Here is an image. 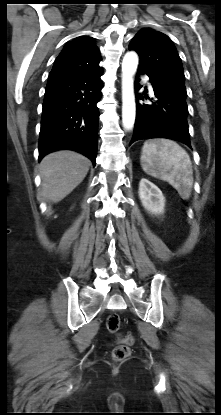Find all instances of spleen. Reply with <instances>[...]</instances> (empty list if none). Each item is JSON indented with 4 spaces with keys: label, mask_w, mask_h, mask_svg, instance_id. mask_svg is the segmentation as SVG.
<instances>
[{
    "label": "spleen",
    "mask_w": 221,
    "mask_h": 415,
    "mask_svg": "<svg viewBox=\"0 0 221 415\" xmlns=\"http://www.w3.org/2000/svg\"><path fill=\"white\" fill-rule=\"evenodd\" d=\"M140 160L148 175L167 181L183 200L189 199L193 186L192 163L179 144L168 139L146 141Z\"/></svg>",
    "instance_id": "1"
}]
</instances>
